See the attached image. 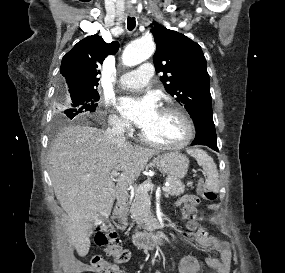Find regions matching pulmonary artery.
Segmentation results:
<instances>
[{
	"mask_svg": "<svg viewBox=\"0 0 285 273\" xmlns=\"http://www.w3.org/2000/svg\"><path fill=\"white\" fill-rule=\"evenodd\" d=\"M154 68L150 62L141 64L137 69L123 74L119 85L125 89H138L146 86L153 76Z\"/></svg>",
	"mask_w": 285,
	"mask_h": 273,
	"instance_id": "e3ab8cb5",
	"label": "pulmonary artery"
}]
</instances>
